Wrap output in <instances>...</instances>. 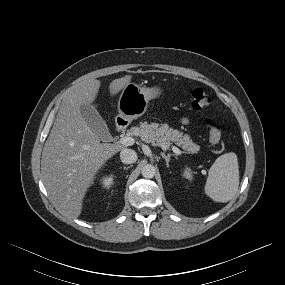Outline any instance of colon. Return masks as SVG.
I'll list each match as a JSON object with an SVG mask.
<instances>
[{
	"instance_id": "colon-1",
	"label": "colon",
	"mask_w": 285,
	"mask_h": 285,
	"mask_svg": "<svg viewBox=\"0 0 285 285\" xmlns=\"http://www.w3.org/2000/svg\"><path fill=\"white\" fill-rule=\"evenodd\" d=\"M214 102L213 96L202 88H196L192 92V107L195 110H203L211 106ZM207 126V139L211 145H217L222 137L221 125L212 122L211 120L206 121Z\"/></svg>"
}]
</instances>
